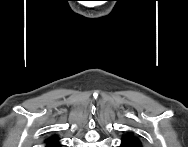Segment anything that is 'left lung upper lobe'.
Listing matches in <instances>:
<instances>
[{"mask_svg": "<svg viewBox=\"0 0 188 147\" xmlns=\"http://www.w3.org/2000/svg\"><path fill=\"white\" fill-rule=\"evenodd\" d=\"M122 146L124 147H142V142L139 137L135 135L133 132H127L123 135L122 138Z\"/></svg>", "mask_w": 188, "mask_h": 147, "instance_id": "obj_1", "label": "left lung upper lobe"}]
</instances>
